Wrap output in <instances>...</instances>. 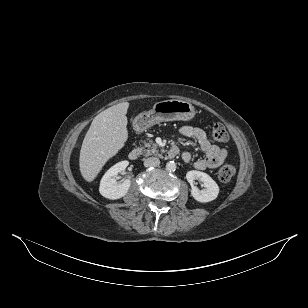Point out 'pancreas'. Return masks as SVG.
Here are the masks:
<instances>
[{
    "label": "pancreas",
    "mask_w": 308,
    "mask_h": 308,
    "mask_svg": "<svg viewBox=\"0 0 308 308\" xmlns=\"http://www.w3.org/2000/svg\"><path fill=\"white\" fill-rule=\"evenodd\" d=\"M140 150L142 152V155L144 156L156 155L161 157L158 145L156 143H153L152 141L143 142V145L140 147ZM161 151L164 152L163 149Z\"/></svg>",
    "instance_id": "1"
}]
</instances>
